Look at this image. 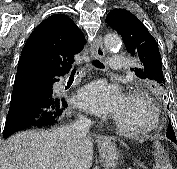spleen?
I'll return each mask as SVG.
<instances>
[{"mask_svg":"<svg viewBox=\"0 0 177 169\" xmlns=\"http://www.w3.org/2000/svg\"><path fill=\"white\" fill-rule=\"evenodd\" d=\"M155 156H156V167L155 169H172L169 162L167 153L162 149L161 144L155 141Z\"/></svg>","mask_w":177,"mask_h":169,"instance_id":"3e777b00","label":"spleen"}]
</instances>
